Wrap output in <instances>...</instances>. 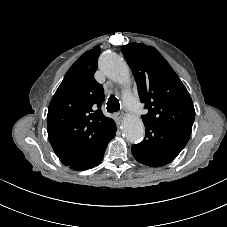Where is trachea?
Returning <instances> with one entry per match:
<instances>
[{
	"label": "trachea",
	"mask_w": 227,
	"mask_h": 227,
	"mask_svg": "<svg viewBox=\"0 0 227 227\" xmlns=\"http://www.w3.org/2000/svg\"><path fill=\"white\" fill-rule=\"evenodd\" d=\"M120 110V104L115 96H110L107 101L108 112H118Z\"/></svg>",
	"instance_id": "1"
}]
</instances>
